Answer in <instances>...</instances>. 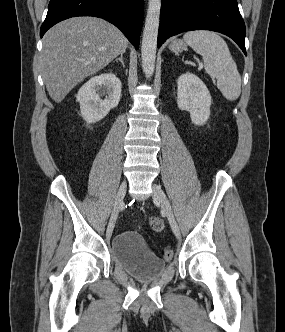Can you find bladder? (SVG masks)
I'll use <instances>...</instances> for the list:
<instances>
[{
    "label": "bladder",
    "mask_w": 285,
    "mask_h": 332,
    "mask_svg": "<svg viewBox=\"0 0 285 332\" xmlns=\"http://www.w3.org/2000/svg\"><path fill=\"white\" fill-rule=\"evenodd\" d=\"M111 255L117 265L142 280L154 278L166 268V263L147 248L136 231L115 235L111 241Z\"/></svg>",
    "instance_id": "1"
}]
</instances>
